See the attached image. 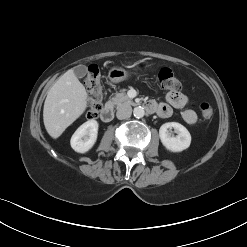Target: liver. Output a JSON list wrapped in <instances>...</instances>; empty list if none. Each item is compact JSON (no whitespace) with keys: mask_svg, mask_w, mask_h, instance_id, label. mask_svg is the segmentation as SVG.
Returning a JSON list of instances; mask_svg holds the SVG:
<instances>
[{"mask_svg":"<svg viewBox=\"0 0 247 247\" xmlns=\"http://www.w3.org/2000/svg\"><path fill=\"white\" fill-rule=\"evenodd\" d=\"M86 108V89L70 69L59 77L45 99L43 121L48 134L58 138Z\"/></svg>","mask_w":247,"mask_h":247,"instance_id":"6515ba94","label":"liver"}]
</instances>
